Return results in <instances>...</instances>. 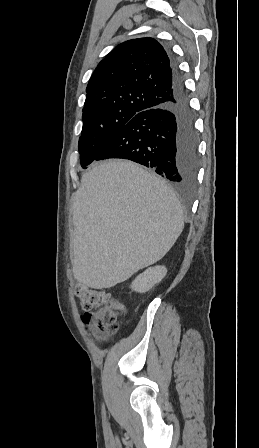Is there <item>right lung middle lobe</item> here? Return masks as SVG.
<instances>
[{"label":"right lung middle lobe","instance_id":"right-lung-middle-lobe-1","mask_svg":"<svg viewBox=\"0 0 259 448\" xmlns=\"http://www.w3.org/2000/svg\"><path fill=\"white\" fill-rule=\"evenodd\" d=\"M138 113L140 112L121 111L83 114V128L78 143L82 168L86 169V166L97 158L118 132Z\"/></svg>","mask_w":259,"mask_h":448}]
</instances>
